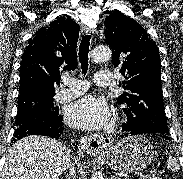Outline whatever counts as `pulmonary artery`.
Masks as SVG:
<instances>
[{"label":"pulmonary artery","instance_id":"1","mask_svg":"<svg viewBox=\"0 0 183 179\" xmlns=\"http://www.w3.org/2000/svg\"><path fill=\"white\" fill-rule=\"evenodd\" d=\"M111 81V73L105 70L98 71L94 76V82L98 86H109ZM64 84L67 88L61 90L55 96V99L59 102L71 100L83 94L88 89V83L84 80L71 78L66 79Z\"/></svg>","mask_w":183,"mask_h":179}]
</instances>
